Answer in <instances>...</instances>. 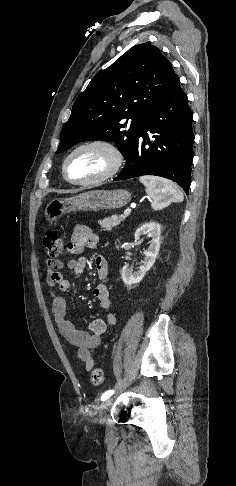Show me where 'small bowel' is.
<instances>
[{
	"label": "small bowel",
	"mask_w": 236,
	"mask_h": 486,
	"mask_svg": "<svg viewBox=\"0 0 236 486\" xmlns=\"http://www.w3.org/2000/svg\"><path fill=\"white\" fill-rule=\"evenodd\" d=\"M99 242V237L92 229L84 224L76 225L71 240L68 244V251L71 255L81 254L85 248H94ZM67 266L75 277L80 276L86 268V258L78 257L70 259L65 265L61 260H49L45 280L50 289L58 288L60 294H52V314L61 335L72 345L77 347V356L82 361L86 370L94 367L92 351L101 343V336L107 331L108 326L116 324L114 313H107L105 319H97L89 324L88 330L83 331L67 319V300L65 294L72 292L71 283L60 273V269ZM95 268L101 280L108 274V262L106 258L99 255L95 258ZM93 295L99 302L102 309L108 310L111 307V299L108 288L104 284L97 285Z\"/></svg>",
	"instance_id": "obj_1"
}]
</instances>
